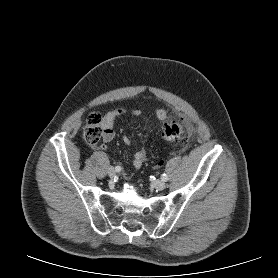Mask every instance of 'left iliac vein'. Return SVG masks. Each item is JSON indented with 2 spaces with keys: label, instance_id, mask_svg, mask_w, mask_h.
<instances>
[{
  "label": "left iliac vein",
  "instance_id": "1",
  "mask_svg": "<svg viewBox=\"0 0 278 278\" xmlns=\"http://www.w3.org/2000/svg\"><path fill=\"white\" fill-rule=\"evenodd\" d=\"M154 187L157 189V190H163L165 187H166V184L164 181L162 180H156L154 182Z\"/></svg>",
  "mask_w": 278,
  "mask_h": 278
}]
</instances>
